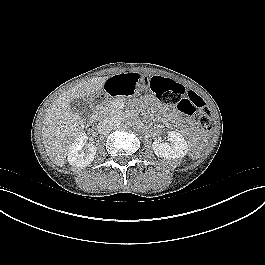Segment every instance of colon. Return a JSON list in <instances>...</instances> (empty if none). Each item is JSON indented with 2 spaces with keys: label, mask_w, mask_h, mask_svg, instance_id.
I'll return each mask as SVG.
<instances>
[{
  "label": "colon",
  "mask_w": 265,
  "mask_h": 265,
  "mask_svg": "<svg viewBox=\"0 0 265 265\" xmlns=\"http://www.w3.org/2000/svg\"><path fill=\"white\" fill-rule=\"evenodd\" d=\"M151 87L160 102L176 106L180 112L194 116L203 129L211 128L210 111L198 94L187 91L183 85L172 79L160 76L152 79Z\"/></svg>",
  "instance_id": "1"
}]
</instances>
